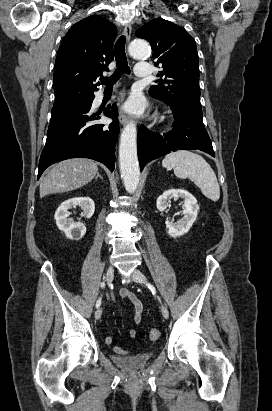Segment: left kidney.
I'll return each instance as SVG.
<instances>
[{
	"label": "left kidney",
	"mask_w": 272,
	"mask_h": 411,
	"mask_svg": "<svg viewBox=\"0 0 272 411\" xmlns=\"http://www.w3.org/2000/svg\"><path fill=\"white\" fill-rule=\"evenodd\" d=\"M183 198V218L177 222L166 221V229L169 236L176 238L186 234L193 223L196 221L199 205L196 198L183 189H169L157 198L156 206L160 212H163L172 198Z\"/></svg>",
	"instance_id": "left-kidney-1"
}]
</instances>
